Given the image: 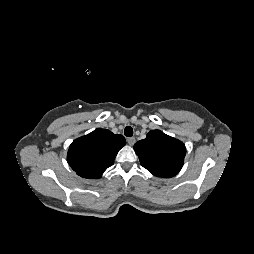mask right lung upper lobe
I'll return each instance as SVG.
<instances>
[{"label": "right lung upper lobe", "mask_w": 254, "mask_h": 254, "mask_svg": "<svg viewBox=\"0 0 254 254\" xmlns=\"http://www.w3.org/2000/svg\"><path fill=\"white\" fill-rule=\"evenodd\" d=\"M125 144L122 135L98 128L71 143L67 161L79 176L97 179L113 165L118 151Z\"/></svg>", "instance_id": "cb5924a9"}]
</instances>
